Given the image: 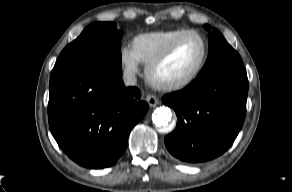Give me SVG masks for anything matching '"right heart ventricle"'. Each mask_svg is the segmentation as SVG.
Returning a JSON list of instances; mask_svg holds the SVG:
<instances>
[{
  "label": "right heart ventricle",
  "instance_id": "e07e8e85",
  "mask_svg": "<svg viewBox=\"0 0 292 192\" xmlns=\"http://www.w3.org/2000/svg\"><path fill=\"white\" fill-rule=\"evenodd\" d=\"M187 31L176 28L142 33L133 38L132 48L143 64L153 60L175 37Z\"/></svg>",
  "mask_w": 292,
  "mask_h": 192
}]
</instances>
